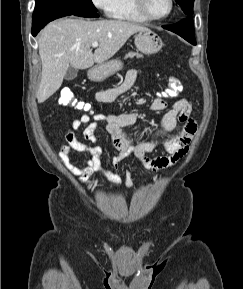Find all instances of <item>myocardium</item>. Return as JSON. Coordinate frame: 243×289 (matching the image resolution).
Wrapping results in <instances>:
<instances>
[{"mask_svg": "<svg viewBox=\"0 0 243 289\" xmlns=\"http://www.w3.org/2000/svg\"><path fill=\"white\" fill-rule=\"evenodd\" d=\"M134 1H135V5L139 13L143 15L146 19L151 20V21L163 20L169 17L174 9V0H169L168 12L162 16H154L148 11L146 0H134Z\"/></svg>", "mask_w": 243, "mask_h": 289, "instance_id": "myocardium-1", "label": "myocardium"}]
</instances>
